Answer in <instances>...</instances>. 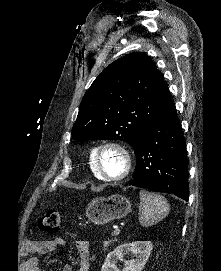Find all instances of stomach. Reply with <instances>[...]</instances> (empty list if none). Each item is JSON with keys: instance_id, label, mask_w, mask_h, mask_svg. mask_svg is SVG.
<instances>
[{"instance_id": "obj_1", "label": "stomach", "mask_w": 221, "mask_h": 271, "mask_svg": "<svg viewBox=\"0 0 221 271\" xmlns=\"http://www.w3.org/2000/svg\"><path fill=\"white\" fill-rule=\"evenodd\" d=\"M130 197L125 195H109V197H94L86 207L88 221H93L96 225L108 223L112 219L125 217L132 211Z\"/></svg>"}]
</instances>
